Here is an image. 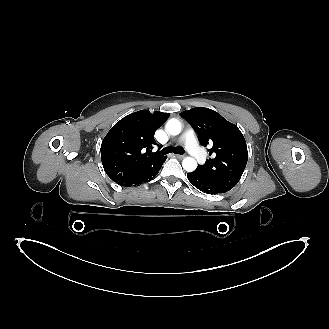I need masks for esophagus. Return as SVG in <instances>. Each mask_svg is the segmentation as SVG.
I'll return each mask as SVG.
<instances>
[{"mask_svg":"<svg viewBox=\"0 0 329 329\" xmlns=\"http://www.w3.org/2000/svg\"><path fill=\"white\" fill-rule=\"evenodd\" d=\"M175 157H177L178 159H183L185 156L184 155H180V154H176Z\"/></svg>","mask_w":329,"mask_h":329,"instance_id":"obj_1","label":"esophagus"}]
</instances>
